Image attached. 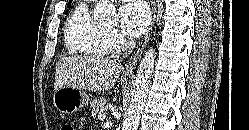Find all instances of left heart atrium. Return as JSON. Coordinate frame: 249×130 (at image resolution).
<instances>
[{"label":"left heart atrium","mask_w":249,"mask_h":130,"mask_svg":"<svg viewBox=\"0 0 249 130\" xmlns=\"http://www.w3.org/2000/svg\"><path fill=\"white\" fill-rule=\"evenodd\" d=\"M120 23L123 32L132 37L140 36L148 27L150 13L143 2H130L120 8Z\"/></svg>","instance_id":"1"}]
</instances>
